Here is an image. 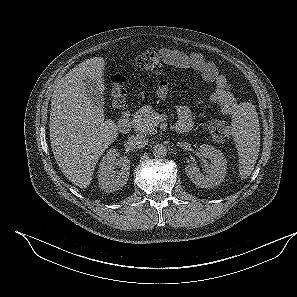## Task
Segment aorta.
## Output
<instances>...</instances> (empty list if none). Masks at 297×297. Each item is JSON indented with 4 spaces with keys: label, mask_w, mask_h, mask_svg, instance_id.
<instances>
[{
    "label": "aorta",
    "mask_w": 297,
    "mask_h": 297,
    "mask_svg": "<svg viewBox=\"0 0 297 297\" xmlns=\"http://www.w3.org/2000/svg\"><path fill=\"white\" fill-rule=\"evenodd\" d=\"M152 153L156 158H163L167 154V148L163 144H156L153 146Z\"/></svg>",
    "instance_id": "762f6f07"
}]
</instances>
